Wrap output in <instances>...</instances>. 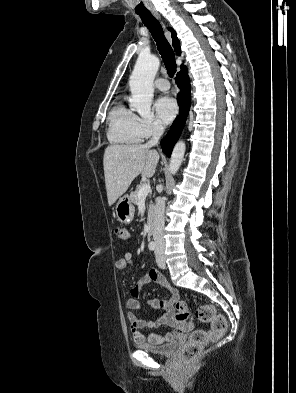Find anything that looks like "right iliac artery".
Segmentation results:
<instances>
[{
    "instance_id": "obj_1",
    "label": "right iliac artery",
    "mask_w": 296,
    "mask_h": 393,
    "mask_svg": "<svg viewBox=\"0 0 296 393\" xmlns=\"http://www.w3.org/2000/svg\"><path fill=\"white\" fill-rule=\"evenodd\" d=\"M148 247H149V249H150L151 251H153V250H155L156 244H155L154 242H150L149 245H148Z\"/></svg>"
}]
</instances>
